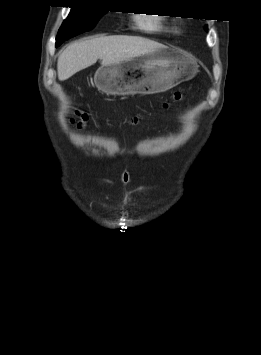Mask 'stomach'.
<instances>
[{
	"label": "stomach",
	"mask_w": 261,
	"mask_h": 355,
	"mask_svg": "<svg viewBox=\"0 0 261 355\" xmlns=\"http://www.w3.org/2000/svg\"><path fill=\"white\" fill-rule=\"evenodd\" d=\"M198 65L193 57L164 46L131 59L102 65L94 75L99 90L108 95L155 94L193 78Z\"/></svg>",
	"instance_id": "0dacf381"
}]
</instances>
